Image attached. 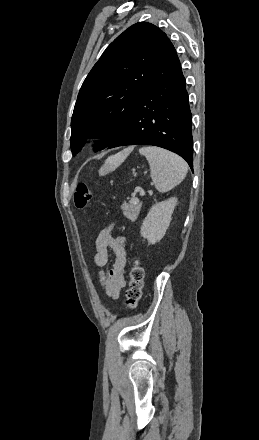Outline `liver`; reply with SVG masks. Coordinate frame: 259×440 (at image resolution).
<instances>
[{"mask_svg":"<svg viewBox=\"0 0 259 440\" xmlns=\"http://www.w3.org/2000/svg\"><path fill=\"white\" fill-rule=\"evenodd\" d=\"M132 148L126 149L120 153L110 156L104 163L103 167L100 169V175H105L109 171L116 169L131 152Z\"/></svg>","mask_w":259,"mask_h":440,"instance_id":"obj_1","label":"liver"}]
</instances>
